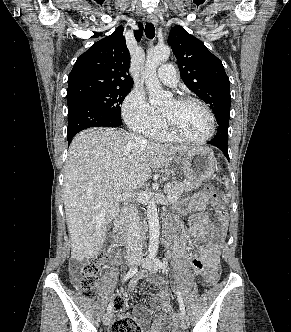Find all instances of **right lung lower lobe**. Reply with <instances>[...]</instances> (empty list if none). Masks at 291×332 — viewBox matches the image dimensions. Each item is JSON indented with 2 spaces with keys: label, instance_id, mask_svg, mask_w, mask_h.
Wrapping results in <instances>:
<instances>
[{
  "label": "right lung lower lobe",
  "instance_id": "98d812e1",
  "mask_svg": "<svg viewBox=\"0 0 291 332\" xmlns=\"http://www.w3.org/2000/svg\"><path fill=\"white\" fill-rule=\"evenodd\" d=\"M120 125L110 113L89 101L78 99L68 105V145L78 132L86 128Z\"/></svg>",
  "mask_w": 291,
  "mask_h": 332
}]
</instances>
